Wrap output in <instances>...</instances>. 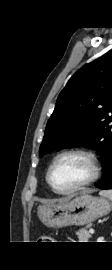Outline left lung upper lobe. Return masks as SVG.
Instances as JSON below:
<instances>
[{
	"instance_id": "5c2ea615",
	"label": "left lung upper lobe",
	"mask_w": 112,
	"mask_h": 270,
	"mask_svg": "<svg viewBox=\"0 0 112 270\" xmlns=\"http://www.w3.org/2000/svg\"><path fill=\"white\" fill-rule=\"evenodd\" d=\"M83 146L102 166L112 153V49L70 78L48 120L39 154Z\"/></svg>"
}]
</instances>
